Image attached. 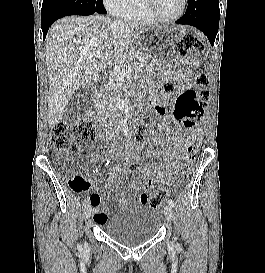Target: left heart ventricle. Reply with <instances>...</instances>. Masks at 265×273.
<instances>
[{"label":"left heart ventricle","instance_id":"left-heart-ventricle-1","mask_svg":"<svg viewBox=\"0 0 265 273\" xmlns=\"http://www.w3.org/2000/svg\"><path fill=\"white\" fill-rule=\"evenodd\" d=\"M154 11L164 18L176 16L182 8V0H154Z\"/></svg>","mask_w":265,"mask_h":273}]
</instances>
